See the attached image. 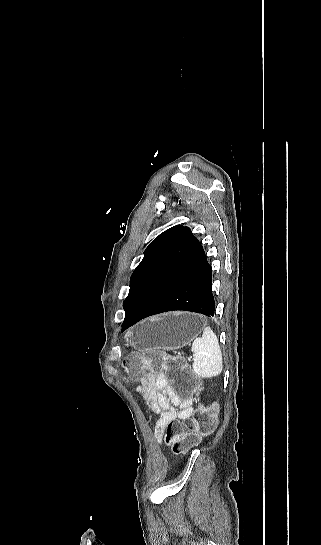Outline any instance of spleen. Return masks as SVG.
<instances>
[{
	"label": "spleen",
	"mask_w": 321,
	"mask_h": 545,
	"mask_svg": "<svg viewBox=\"0 0 321 545\" xmlns=\"http://www.w3.org/2000/svg\"><path fill=\"white\" fill-rule=\"evenodd\" d=\"M191 351L194 353L192 367L197 377L212 379V377H217L222 373V351L217 335L213 333L211 327H206L202 337H198L193 341Z\"/></svg>",
	"instance_id": "3e777b00"
}]
</instances>
